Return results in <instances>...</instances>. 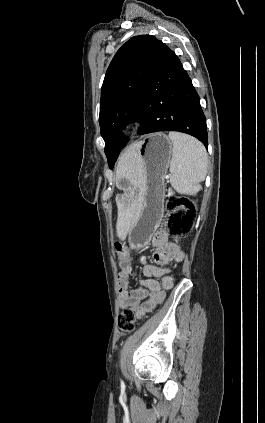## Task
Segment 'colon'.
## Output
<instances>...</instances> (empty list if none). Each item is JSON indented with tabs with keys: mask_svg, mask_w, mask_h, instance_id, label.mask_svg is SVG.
<instances>
[{
	"mask_svg": "<svg viewBox=\"0 0 265 423\" xmlns=\"http://www.w3.org/2000/svg\"><path fill=\"white\" fill-rule=\"evenodd\" d=\"M168 219L166 228L173 237L187 235L192 227L195 218V207L186 198L171 197L167 200ZM116 251L120 262H125L128 257V249L124 245H117ZM137 319L132 310H123L118 317V327L123 333H130L135 329Z\"/></svg>",
	"mask_w": 265,
	"mask_h": 423,
	"instance_id": "1",
	"label": "colon"
}]
</instances>
